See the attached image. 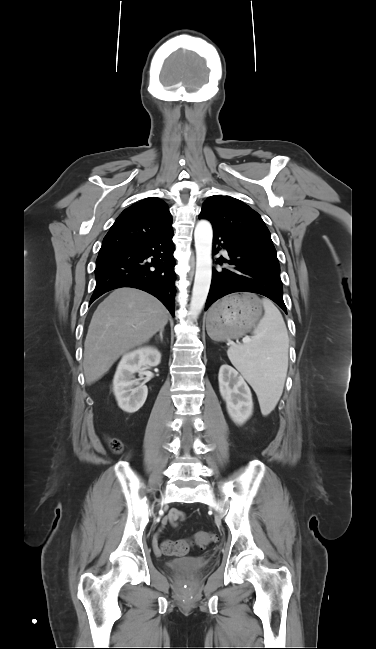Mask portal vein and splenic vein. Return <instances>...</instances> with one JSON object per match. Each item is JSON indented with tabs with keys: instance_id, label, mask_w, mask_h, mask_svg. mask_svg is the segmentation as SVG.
Wrapping results in <instances>:
<instances>
[{
	"instance_id": "obj_1",
	"label": "portal vein and splenic vein",
	"mask_w": 376,
	"mask_h": 649,
	"mask_svg": "<svg viewBox=\"0 0 376 649\" xmlns=\"http://www.w3.org/2000/svg\"><path fill=\"white\" fill-rule=\"evenodd\" d=\"M243 342H244V343H248V342H250V338H245Z\"/></svg>"
}]
</instances>
